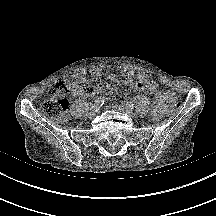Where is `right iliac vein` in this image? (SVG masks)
<instances>
[{"instance_id": "obj_1", "label": "right iliac vein", "mask_w": 216, "mask_h": 216, "mask_svg": "<svg viewBox=\"0 0 216 216\" xmlns=\"http://www.w3.org/2000/svg\"><path fill=\"white\" fill-rule=\"evenodd\" d=\"M97 111H98V110H96L95 108H92V110H91L90 113H89V117H90V118L95 117L96 114H97Z\"/></svg>"}]
</instances>
